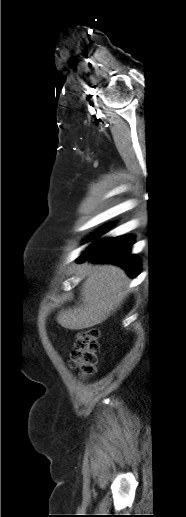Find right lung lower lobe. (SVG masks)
I'll return each mask as SVG.
<instances>
[{
    "label": "right lung lower lobe",
    "instance_id": "1",
    "mask_svg": "<svg viewBox=\"0 0 186 517\" xmlns=\"http://www.w3.org/2000/svg\"><path fill=\"white\" fill-rule=\"evenodd\" d=\"M132 244L133 238L130 236L99 240L93 243L77 259V262L85 261L88 258L99 262H110L124 268L131 277H136L140 267L138 258L130 254Z\"/></svg>",
    "mask_w": 186,
    "mask_h": 517
}]
</instances>
